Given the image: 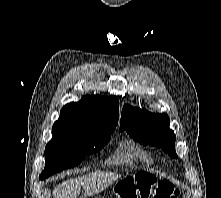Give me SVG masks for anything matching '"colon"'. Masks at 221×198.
<instances>
[{"label":"colon","mask_w":221,"mask_h":198,"mask_svg":"<svg viewBox=\"0 0 221 198\" xmlns=\"http://www.w3.org/2000/svg\"><path fill=\"white\" fill-rule=\"evenodd\" d=\"M179 191L167 180L140 172L118 183L113 198H177Z\"/></svg>","instance_id":"1"}]
</instances>
